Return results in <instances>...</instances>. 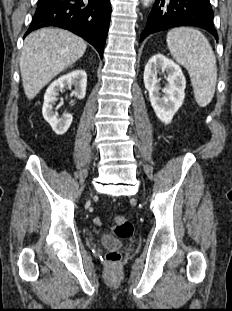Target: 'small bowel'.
<instances>
[{
	"instance_id": "obj_1",
	"label": "small bowel",
	"mask_w": 232,
	"mask_h": 311,
	"mask_svg": "<svg viewBox=\"0 0 232 311\" xmlns=\"http://www.w3.org/2000/svg\"><path fill=\"white\" fill-rule=\"evenodd\" d=\"M95 222H96L97 224H100V223H101L100 220H98V219H97Z\"/></svg>"
}]
</instances>
